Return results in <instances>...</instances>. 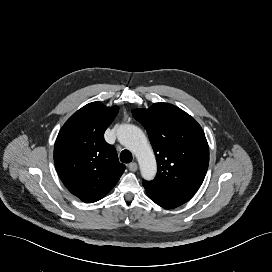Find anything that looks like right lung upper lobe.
I'll use <instances>...</instances> for the list:
<instances>
[{
  "instance_id": "right-lung-upper-lobe-1",
  "label": "right lung upper lobe",
  "mask_w": 272,
  "mask_h": 272,
  "mask_svg": "<svg viewBox=\"0 0 272 272\" xmlns=\"http://www.w3.org/2000/svg\"><path fill=\"white\" fill-rule=\"evenodd\" d=\"M117 106L92 102L74 113L61 128L54 146V163L67 189L85 203L103 198L125 170L104 132Z\"/></svg>"
}]
</instances>
